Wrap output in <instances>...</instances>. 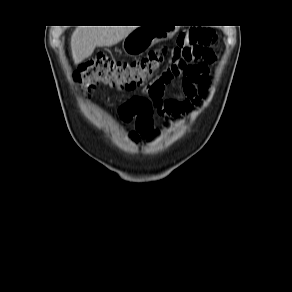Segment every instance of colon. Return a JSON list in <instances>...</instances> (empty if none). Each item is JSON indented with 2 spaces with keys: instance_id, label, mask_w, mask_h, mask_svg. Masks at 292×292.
Here are the masks:
<instances>
[{
  "instance_id": "1",
  "label": "colon",
  "mask_w": 292,
  "mask_h": 292,
  "mask_svg": "<svg viewBox=\"0 0 292 292\" xmlns=\"http://www.w3.org/2000/svg\"><path fill=\"white\" fill-rule=\"evenodd\" d=\"M217 41L215 32L208 28H191L180 33L177 45L160 48L133 61H119L98 55L82 63L74 74L78 88L91 92L98 84H107L121 91L143 87L145 95L125 102L119 114L125 121L135 123L145 131L151 130L157 97L163 86L176 76H184L194 64L206 59Z\"/></svg>"
}]
</instances>
